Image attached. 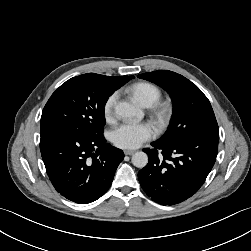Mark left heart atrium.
Masks as SVG:
<instances>
[{
    "mask_svg": "<svg viewBox=\"0 0 251 251\" xmlns=\"http://www.w3.org/2000/svg\"><path fill=\"white\" fill-rule=\"evenodd\" d=\"M156 130L151 123L126 122L117 126L111 133L112 142L125 149H134L154 137Z\"/></svg>",
    "mask_w": 251,
    "mask_h": 251,
    "instance_id": "left-heart-atrium-1",
    "label": "left heart atrium"
}]
</instances>
